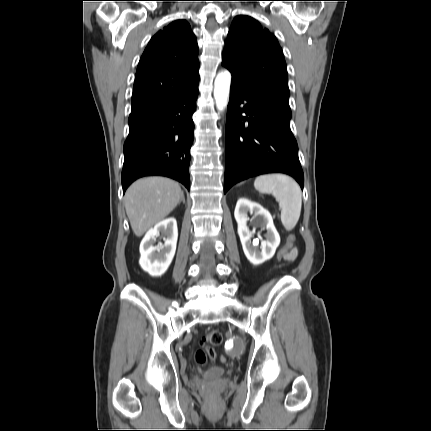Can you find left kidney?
<instances>
[{
    "instance_id": "left-kidney-1",
    "label": "left kidney",
    "mask_w": 431,
    "mask_h": 431,
    "mask_svg": "<svg viewBox=\"0 0 431 431\" xmlns=\"http://www.w3.org/2000/svg\"><path fill=\"white\" fill-rule=\"evenodd\" d=\"M248 212L254 214L253 221L256 226L267 230L266 240L261 242L260 249L258 245L251 242L253 234L247 228ZM234 216L238 224V235L244 254L250 263L260 265L271 259L280 244V236L273 224L271 214L260 204L240 198L237 201Z\"/></svg>"
}]
</instances>
